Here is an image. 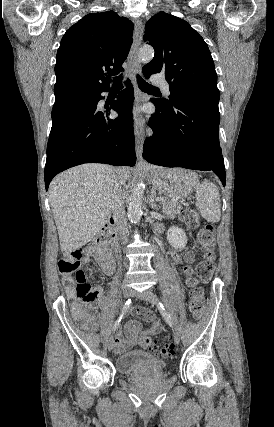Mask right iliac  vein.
Here are the masks:
<instances>
[{"instance_id": "1", "label": "right iliac vein", "mask_w": 274, "mask_h": 427, "mask_svg": "<svg viewBox=\"0 0 274 427\" xmlns=\"http://www.w3.org/2000/svg\"><path fill=\"white\" fill-rule=\"evenodd\" d=\"M121 290L125 298H128L132 294V290L125 284L122 285ZM114 343H115L114 337L111 336L108 342L109 351H112L114 349Z\"/></svg>"}]
</instances>
